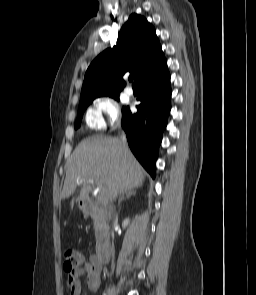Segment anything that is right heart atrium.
<instances>
[{"label":"right heart atrium","instance_id":"1","mask_svg":"<svg viewBox=\"0 0 256 295\" xmlns=\"http://www.w3.org/2000/svg\"><path fill=\"white\" fill-rule=\"evenodd\" d=\"M93 111L101 127L116 126L121 120L120 107L109 96L98 97L94 101Z\"/></svg>","mask_w":256,"mask_h":295}]
</instances>
